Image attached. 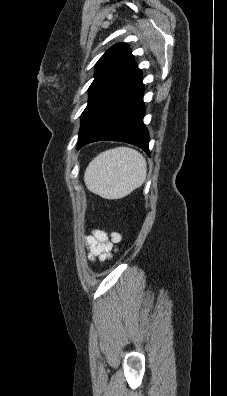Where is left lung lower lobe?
I'll use <instances>...</instances> for the list:
<instances>
[{
    "label": "left lung lower lobe",
    "instance_id": "left-lung-lower-lobe-1",
    "mask_svg": "<svg viewBox=\"0 0 227 396\" xmlns=\"http://www.w3.org/2000/svg\"><path fill=\"white\" fill-rule=\"evenodd\" d=\"M144 85L137 69L92 110L79 133L78 148L100 140L136 145L149 155V134L143 124Z\"/></svg>",
    "mask_w": 227,
    "mask_h": 396
}]
</instances>
